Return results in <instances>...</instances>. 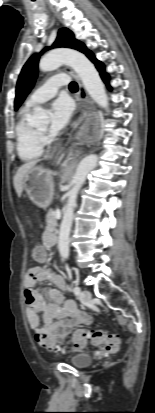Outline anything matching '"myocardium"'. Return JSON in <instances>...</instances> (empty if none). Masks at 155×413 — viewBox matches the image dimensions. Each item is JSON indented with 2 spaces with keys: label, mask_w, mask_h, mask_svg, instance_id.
<instances>
[{
  "label": "myocardium",
  "mask_w": 155,
  "mask_h": 413,
  "mask_svg": "<svg viewBox=\"0 0 155 413\" xmlns=\"http://www.w3.org/2000/svg\"><path fill=\"white\" fill-rule=\"evenodd\" d=\"M38 133H39L40 135H43V132H39V131H38Z\"/></svg>",
  "instance_id": "1"
}]
</instances>
